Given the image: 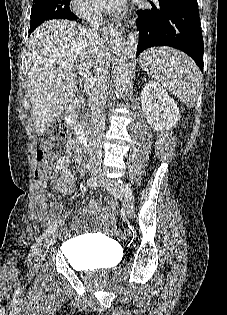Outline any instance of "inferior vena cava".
I'll list each match as a JSON object with an SVG mask.
<instances>
[{"label":"inferior vena cava","mask_w":227,"mask_h":315,"mask_svg":"<svg viewBox=\"0 0 227 315\" xmlns=\"http://www.w3.org/2000/svg\"><path fill=\"white\" fill-rule=\"evenodd\" d=\"M83 16L89 23L88 30L97 37L102 24L101 13L96 8L87 7ZM110 61V59H109ZM109 61L97 66L91 84L90 107V154L99 152L102 148V135L105 130L106 91L109 85Z\"/></svg>","instance_id":"1"}]
</instances>
